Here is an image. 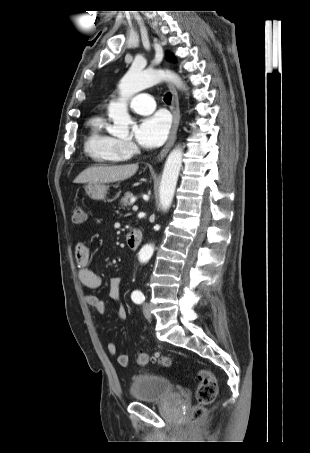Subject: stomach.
<instances>
[{
  "label": "stomach",
  "mask_w": 310,
  "mask_h": 453,
  "mask_svg": "<svg viewBox=\"0 0 310 453\" xmlns=\"http://www.w3.org/2000/svg\"><path fill=\"white\" fill-rule=\"evenodd\" d=\"M87 195L94 200H101L105 197L107 187L104 184H89L86 188Z\"/></svg>",
  "instance_id": "1"
}]
</instances>
